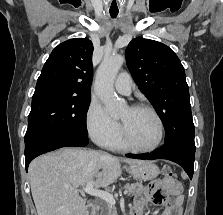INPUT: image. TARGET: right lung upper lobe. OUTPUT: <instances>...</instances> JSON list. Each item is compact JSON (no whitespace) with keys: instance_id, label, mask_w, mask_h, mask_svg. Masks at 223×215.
Listing matches in <instances>:
<instances>
[{"instance_id":"cb5924a9","label":"right lung upper lobe","mask_w":223,"mask_h":215,"mask_svg":"<svg viewBox=\"0 0 223 215\" xmlns=\"http://www.w3.org/2000/svg\"><path fill=\"white\" fill-rule=\"evenodd\" d=\"M92 53L93 45L87 38L59 44L44 64L34 95L54 93L90 98Z\"/></svg>"}]
</instances>
